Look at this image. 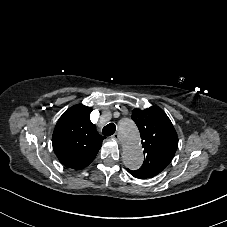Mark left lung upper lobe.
<instances>
[{"mask_svg":"<svg viewBox=\"0 0 227 227\" xmlns=\"http://www.w3.org/2000/svg\"><path fill=\"white\" fill-rule=\"evenodd\" d=\"M131 117L139 128L145 159L141 168L128 169V172L136 178H152L163 171L174 157L178 147L177 133L166 113L158 106L134 109Z\"/></svg>","mask_w":227,"mask_h":227,"instance_id":"5c2ea615","label":"left lung upper lobe"}]
</instances>
